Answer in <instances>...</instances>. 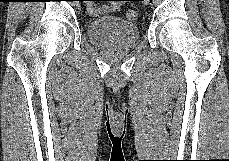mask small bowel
<instances>
[{"instance_id":"1","label":"small bowel","mask_w":229,"mask_h":161,"mask_svg":"<svg viewBox=\"0 0 229 161\" xmlns=\"http://www.w3.org/2000/svg\"><path fill=\"white\" fill-rule=\"evenodd\" d=\"M118 9H119L118 4L114 3V4L103 6L100 8H93V12H95V13L115 12Z\"/></svg>"}]
</instances>
